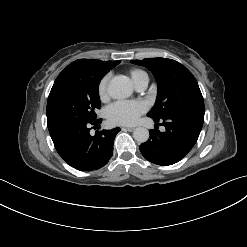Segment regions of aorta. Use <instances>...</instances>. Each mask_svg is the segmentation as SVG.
Instances as JSON below:
<instances>
[{"label": "aorta", "instance_id": "1", "mask_svg": "<svg viewBox=\"0 0 247 247\" xmlns=\"http://www.w3.org/2000/svg\"><path fill=\"white\" fill-rule=\"evenodd\" d=\"M132 92V85L121 77H114L109 82L108 94L113 99L128 98ZM133 138L139 143H144L149 139V131L144 127H137L133 132Z\"/></svg>", "mask_w": 247, "mask_h": 247}]
</instances>
